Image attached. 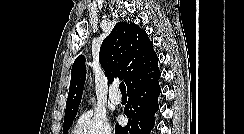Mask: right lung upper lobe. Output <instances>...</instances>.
Here are the masks:
<instances>
[{
  "label": "right lung upper lobe",
  "instance_id": "obj_1",
  "mask_svg": "<svg viewBox=\"0 0 244 134\" xmlns=\"http://www.w3.org/2000/svg\"><path fill=\"white\" fill-rule=\"evenodd\" d=\"M99 61L109 82L118 77L127 90L160 74L158 57L145 30L134 23L119 22L104 39ZM86 79L85 59L76 58L72 66L65 118L76 116Z\"/></svg>",
  "mask_w": 244,
  "mask_h": 134
}]
</instances>
